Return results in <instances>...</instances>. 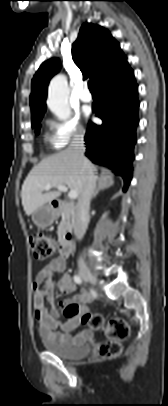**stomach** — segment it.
<instances>
[{
	"mask_svg": "<svg viewBox=\"0 0 168 406\" xmlns=\"http://www.w3.org/2000/svg\"><path fill=\"white\" fill-rule=\"evenodd\" d=\"M57 217V211L49 205H44L32 214V221L38 227L50 226Z\"/></svg>",
	"mask_w": 168,
	"mask_h": 406,
	"instance_id": "0dacf381",
	"label": "stomach"
}]
</instances>
